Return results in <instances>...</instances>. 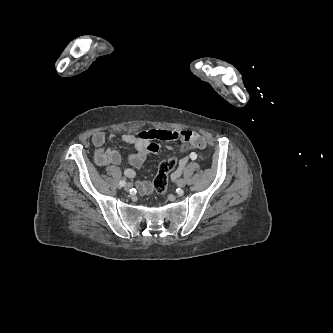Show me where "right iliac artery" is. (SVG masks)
<instances>
[{
    "mask_svg": "<svg viewBox=\"0 0 333 333\" xmlns=\"http://www.w3.org/2000/svg\"><path fill=\"white\" fill-rule=\"evenodd\" d=\"M125 184H126V181H125V180H121V181L119 182V185H120L121 187L125 186Z\"/></svg>",
    "mask_w": 333,
    "mask_h": 333,
    "instance_id": "82829eb1",
    "label": "right iliac artery"
}]
</instances>
